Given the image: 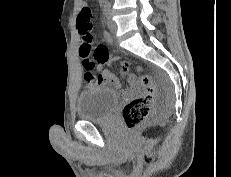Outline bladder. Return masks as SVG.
<instances>
[{
    "mask_svg": "<svg viewBox=\"0 0 231 177\" xmlns=\"http://www.w3.org/2000/svg\"><path fill=\"white\" fill-rule=\"evenodd\" d=\"M118 103V95L106 87H94L80 93L77 98V116L84 121L106 120Z\"/></svg>",
    "mask_w": 231,
    "mask_h": 177,
    "instance_id": "obj_1",
    "label": "bladder"
}]
</instances>
